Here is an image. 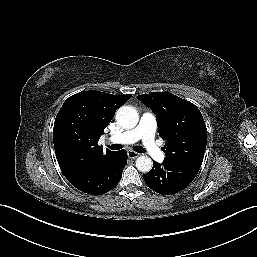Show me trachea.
Here are the masks:
<instances>
[{"mask_svg":"<svg viewBox=\"0 0 257 257\" xmlns=\"http://www.w3.org/2000/svg\"><path fill=\"white\" fill-rule=\"evenodd\" d=\"M108 147L110 149H112V150H120V149H122V145H120V144H112L110 146L108 145ZM134 150L136 152H138V153H145V149L143 147H141V146L134 147Z\"/></svg>","mask_w":257,"mask_h":257,"instance_id":"trachea-1","label":"trachea"}]
</instances>
